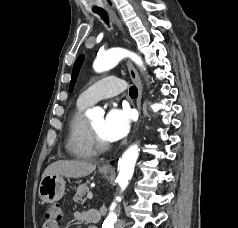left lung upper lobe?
Here are the masks:
<instances>
[{
    "label": "left lung upper lobe",
    "instance_id": "obj_1",
    "mask_svg": "<svg viewBox=\"0 0 238 228\" xmlns=\"http://www.w3.org/2000/svg\"><path fill=\"white\" fill-rule=\"evenodd\" d=\"M83 59H84V56L80 55L77 58V60H76V62L74 64L73 71H72V78H71L70 87H69V92H72V90L74 88V84L76 82V79H77L80 67H81V65L83 63Z\"/></svg>",
    "mask_w": 238,
    "mask_h": 228
}]
</instances>
